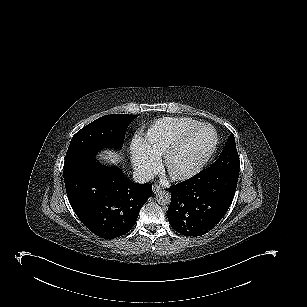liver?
<instances>
[{
    "instance_id": "6515ba94",
    "label": "liver",
    "mask_w": 307,
    "mask_h": 307,
    "mask_svg": "<svg viewBox=\"0 0 307 307\" xmlns=\"http://www.w3.org/2000/svg\"><path fill=\"white\" fill-rule=\"evenodd\" d=\"M122 153L119 151H116L114 149H105L101 150L96 156V158L103 164L108 165H118L122 161Z\"/></svg>"
}]
</instances>
